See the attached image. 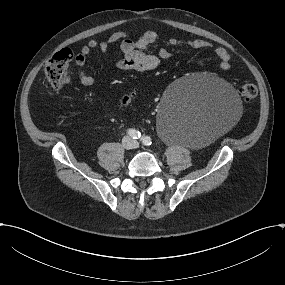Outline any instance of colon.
Returning <instances> with one entry per match:
<instances>
[{
  "mask_svg": "<svg viewBox=\"0 0 285 285\" xmlns=\"http://www.w3.org/2000/svg\"><path fill=\"white\" fill-rule=\"evenodd\" d=\"M72 52L68 49H62L55 53L47 62L45 74L53 86H61L69 75V66L72 60ZM242 98L247 102H252L257 98V86L251 82L244 83L240 88ZM132 94L125 95L120 104L126 105L131 100Z\"/></svg>",
  "mask_w": 285,
  "mask_h": 285,
  "instance_id": "5ec220e1",
  "label": "colon"
}]
</instances>
